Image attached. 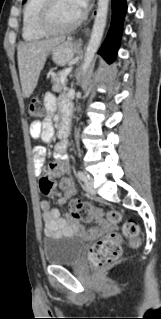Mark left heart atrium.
<instances>
[{
    "instance_id": "left-heart-atrium-1",
    "label": "left heart atrium",
    "mask_w": 161,
    "mask_h": 319,
    "mask_svg": "<svg viewBox=\"0 0 161 319\" xmlns=\"http://www.w3.org/2000/svg\"><path fill=\"white\" fill-rule=\"evenodd\" d=\"M74 1L76 5L78 6V8L82 10L86 6L88 0H74Z\"/></svg>"
}]
</instances>
